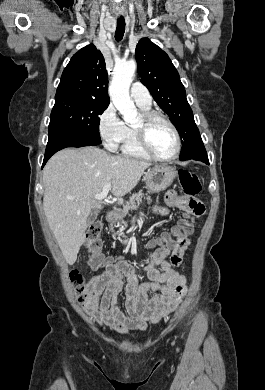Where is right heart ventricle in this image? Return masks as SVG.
I'll return each mask as SVG.
<instances>
[{
  "label": "right heart ventricle",
  "instance_id": "e07e8e85",
  "mask_svg": "<svg viewBox=\"0 0 265 390\" xmlns=\"http://www.w3.org/2000/svg\"><path fill=\"white\" fill-rule=\"evenodd\" d=\"M144 112L149 110V107H140ZM121 153L125 156L140 159L150 160L151 158L142 150L139 145L137 135L133 126H126L123 140L119 145Z\"/></svg>",
  "mask_w": 265,
  "mask_h": 390
}]
</instances>
